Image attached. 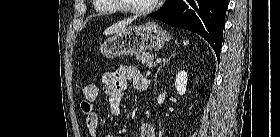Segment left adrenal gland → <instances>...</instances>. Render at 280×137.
<instances>
[{"label": "left adrenal gland", "mask_w": 280, "mask_h": 137, "mask_svg": "<svg viewBox=\"0 0 280 137\" xmlns=\"http://www.w3.org/2000/svg\"><path fill=\"white\" fill-rule=\"evenodd\" d=\"M175 56V53H172L171 56L163 63V65H165V63H167L172 57ZM162 65L158 68L156 74H155V82H156V78H157V73L159 72V70L161 69Z\"/></svg>", "instance_id": "left-adrenal-gland-1"}]
</instances>
